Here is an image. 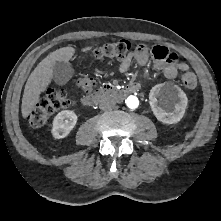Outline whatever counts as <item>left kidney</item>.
<instances>
[{"label":"left kidney","instance_id":"obj_1","mask_svg":"<svg viewBox=\"0 0 221 221\" xmlns=\"http://www.w3.org/2000/svg\"><path fill=\"white\" fill-rule=\"evenodd\" d=\"M149 104L158 121L164 124H174L183 118L188 98L177 85L162 83L151 89Z\"/></svg>","mask_w":221,"mask_h":221}]
</instances>
